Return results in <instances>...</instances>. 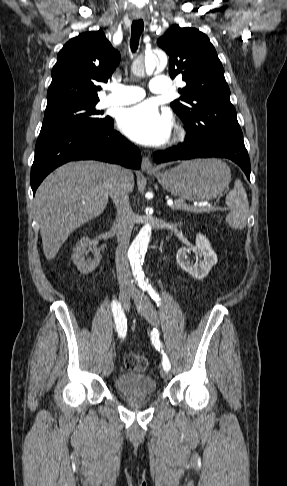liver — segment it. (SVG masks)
<instances>
[{
    "instance_id": "1",
    "label": "liver",
    "mask_w": 287,
    "mask_h": 486,
    "mask_svg": "<svg viewBox=\"0 0 287 486\" xmlns=\"http://www.w3.org/2000/svg\"><path fill=\"white\" fill-rule=\"evenodd\" d=\"M112 168L113 165L92 160L69 162L40 184L35 205L47 260L56 256L73 231L103 213L108 203ZM126 183L132 192L131 171Z\"/></svg>"
}]
</instances>
